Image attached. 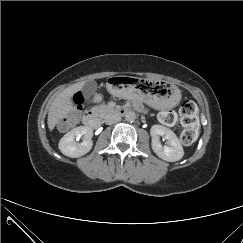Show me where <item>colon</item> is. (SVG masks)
I'll list each match as a JSON object with an SVG mask.
<instances>
[{
	"label": "colon",
	"mask_w": 243,
	"mask_h": 243,
	"mask_svg": "<svg viewBox=\"0 0 243 243\" xmlns=\"http://www.w3.org/2000/svg\"><path fill=\"white\" fill-rule=\"evenodd\" d=\"M83 101V96L80 93L74 96L76 108L59 122L60 129L67 130L76 122L78 109L82 107ZM179 115L184 127L180 135L181 142L184 145H191L197 138L198 108L196 104L192 101L184 102L179 110ZM159 119L164 125L171 126L176 122V115L172 110H166L160 113Z\"/></svg>",
	"instance_id": "obj_1"
}]
</instances>
